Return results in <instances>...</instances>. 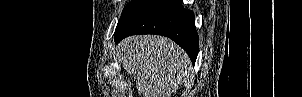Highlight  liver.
Listing matches in <instances>:
<instances>
[{"instance_id":"obj_1","label":"liver","mask_w":302,"mask_h":97,"mask_svg":"<svg viewBox=\"0 0 302 97\" xmlns=\"http://www.w3.org/2000/svg\"><path fill=\"white\" fill-rule=\"evenodd\" d=\"M118 55L144 97H171L192 70L185 51L163 36L128 37L118 45Z\"/></svg>"}]
</instances>
